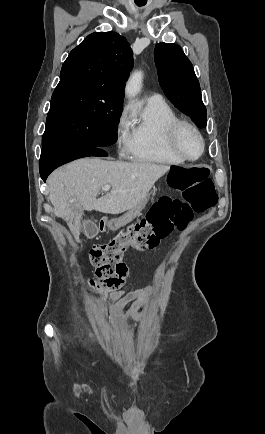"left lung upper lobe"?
<instances>
[{
	"mask_svg": "<svg viewBox=\"0 0 265 434\" xmlns=\"http://www.w3.org/2000/svg\"><path fill=\"white\" fill-rule=\"evenodd\" d=\"M159 83L165 95L199 128L206 127L207 112L192 63L181 47L159 43L154 50Z\"/></svg>",
	"mask_w": 265,
	"mask_h": 434,
	"instance_id": "obj_1",
	"label": "left lung upper lobe"
}]
</instances>
